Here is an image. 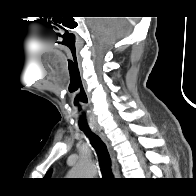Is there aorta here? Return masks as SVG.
Returning a JSON list of instances; mask_svg holds the SVG:
<instances>
[{
  "label": "aorta",
  "instance_id": "aorta-1",
  "mask_svg": "<svg viewBox=\"0 0 196 196\" xmlns=\"http://www.w3.org/2000/svg\"><path fill=\"white\" fill-rule=\"evenodd\" d=\"M94 173V165L91 161L81 160L69 173L70 178H88Z\"/></svg>",
  "mask_w": 196,
  "mask_h": 196
}]
</instances>
